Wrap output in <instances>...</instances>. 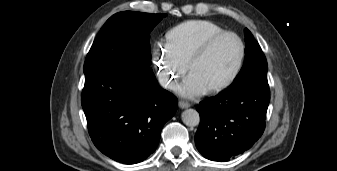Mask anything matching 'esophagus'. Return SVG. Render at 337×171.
Masks as SVG:
<instances>
[{"instance_id": "34e87169", "label": "esophagus", "mask_w": 337, "mask_h": 171, "mask_svg": "<svg viewBox=\"0 0 337 171\" xmlns=\"http://www.w3.org/2000/svg\"><path fill=\"white\" fill-rule=\"evenodd\" d=\"M178 105H179V107L182 108V109L189 108V107L191 106L190 103L185 102V101H179V102H178Z\"/></svg>"}]
</instances>
